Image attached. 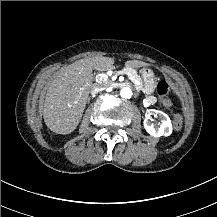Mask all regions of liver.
<instances>
[{"mask_svg": "<svg viewBox=\"0 0 217 217\" xmlns=\"http://www.w3.org/2000/svg\"><path fill=\"white\" fill-rule=\"evenodd\" d=\"M114 59L92 57L81 59L61 68L50 84L43 105L46 126L57 134H70L82 118L89 90L93 82L92 71L114 69ZM126 67L140 68L148 63L139 60L125 62ZM78 101L75 104V101Z\"/></svg>", "mask_w": 217, "mask_h": 217, "instance_id": "liver-1", "label": "liver"}]
</instances>
